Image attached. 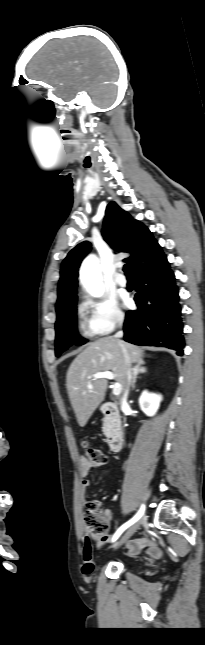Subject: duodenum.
<instances>
[{"mask_svg": "<svg viewBox=\"0 0 205 645\" xmlns=\"http://www.w3.org/2000/svg\"><path fill=\"white\" fill-rule=\"evenodd\" d=\"M102 413L108 421L107 444L111 452H119L123 445V432L117 407L112 403H104Z\"/></svg>", "mask_w": 205, "mask_h": 645, "instance_id": "410a0bca", "label": "duodenum"}]
</instances>
